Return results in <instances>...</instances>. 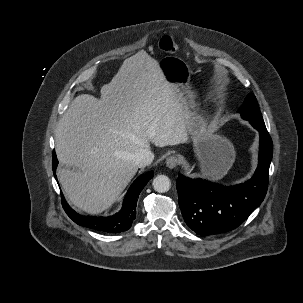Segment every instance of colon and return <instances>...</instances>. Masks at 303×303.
Instances as JSON below:
<instances>
[{
    "label": "colon",
    "mask_w": 303,
    "mask_h": 303,
    "mask_svg": "<svg viewBox=\"0 0 303 303\" xmlns=\"http://www.w3.org/2000/svg\"><path fill=\"white\" fill-rule=\"evenodd\" d=\"M159 48L164 52H177L178 46L175 44L171 36L165 35L159 41Z\"/></svg>",
    "instance_id": "1"
}]
</instances>
